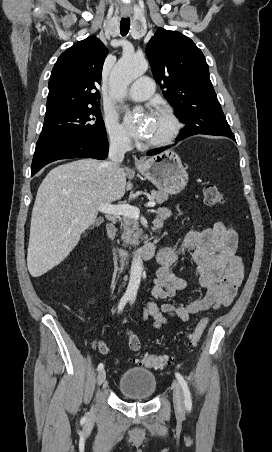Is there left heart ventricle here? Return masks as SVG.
I'll return each instance as SVG.
<instances>
[{
  "mask_svg": "<svg viewBox=\"0 0 272 452\" xmlns=\"http://www.w3.org/2000/svg\"><path fill=\"white\" fill-rule=\"evenodd\" d=\"M170 129V123L167 118L157 113L151 120L146 141H154L163 138Z\"/></svg>",
  "mask_w": 272,
  "mask_h": 452,
  "instance_id": "left-heart-ventricle-1",
  "label": "left heart ventricle"
}]
</instances>
